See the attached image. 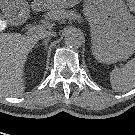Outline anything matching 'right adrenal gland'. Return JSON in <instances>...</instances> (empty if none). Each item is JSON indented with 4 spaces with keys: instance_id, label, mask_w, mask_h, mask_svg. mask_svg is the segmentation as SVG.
I'll return each instance as SVG.
<instances>
[{
    "instance_id": "right-adrenal-gland-1",
    "label": "right adrenal gland",
    "mask_w": 135,
    "mask_h": 135,
    "mask_svg": "<svg viewBox=\"0 0 135 135\" xmlns=\"http://www.w3.org/2000/svg\"><path fill=\"white\" fill-rule=\"evenodd\" d=\"M49 41H50V38H47V39H45V40H44L41 44H39V45H44L45 48H47Z\"/></svg>"
}]
</instances>
